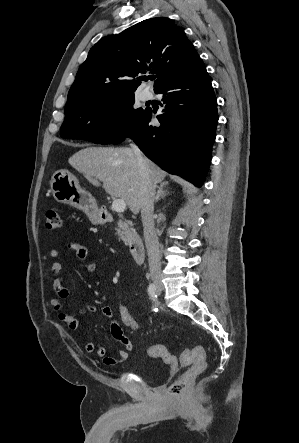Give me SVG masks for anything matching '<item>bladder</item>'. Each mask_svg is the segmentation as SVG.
I'll use <instances>...</instances> for the list:
<instances>
[{"mask_svg":"<svg viewBox=\"0 0 299 443\" xmlns=\"http://www.w3.org/2000/svg\"><path fill=\"white\" fill-rule=\"evenodd\" d=\"M133 372L138 375L144 382L154 385L162 380H164L168 374V371L163 373H156L152 370H145L138 367V365L134 366Z\"/></svg>","mask_w":299,"mask_h":443,"instance_id":"obj_1","label":"bladder"}]
</instances>
